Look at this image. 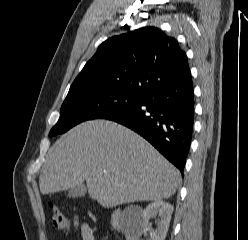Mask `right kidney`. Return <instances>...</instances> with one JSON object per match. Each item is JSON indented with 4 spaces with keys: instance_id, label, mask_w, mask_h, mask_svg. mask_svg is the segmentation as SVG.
<instances>
[{
    "instance_id": "ca27d5eb",
    "label": "right kidney",
    "mask_w": 248,
    "mask_h": 240,
    "mask_svg": "<svg viewBox=\"0 0 248 240\" xmlns=\"http://www.w3.org/2000/svg\"><path fill=\"white\" fill-rule=\"evenodd\" d=\"M173 209V205L165 201L149 204L142 212V220L125 232L126 240H141L142 234L149 229V220L157 216L160 220L157 222V228L150 231V240H165Z\"/></svg>"
}]
</instances>
